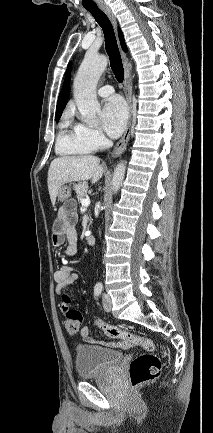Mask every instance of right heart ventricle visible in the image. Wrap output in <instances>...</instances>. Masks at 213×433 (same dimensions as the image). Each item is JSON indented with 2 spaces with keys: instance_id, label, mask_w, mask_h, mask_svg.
<instances>
[{
  "instance_id": "right-heart-ventricle-1",
  "label": "right heart ventricle",
  "mask_w": 213,
  "mask_h": 433,
  "mask_svg": "<svg viewBox=\"0 0 213 433\" xmlns=\"http://www.w3.org/2000/svg\"><path fill=\"white\" fill-rule=\"evenodd\" d=\"M93 150L79 125H71L69 120H65L57 137L56 151L62 155H85Z\"/></svg>"
}]
</instances>
